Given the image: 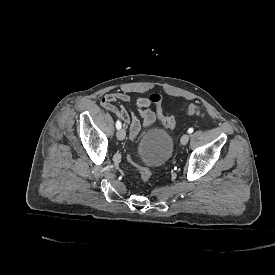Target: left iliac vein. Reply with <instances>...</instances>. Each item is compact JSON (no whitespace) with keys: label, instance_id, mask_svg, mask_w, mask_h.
I'll return each instance as SVG.
<instances>
[{"label":"left iliac vein","instance_id":"obj_1","mask_svg":"<svg viewBox=\"0 0 275 275\" xmlns=\"http://www.w3.org/2000/svg\"><path fill=\"white\" fill-rule=\"evenodd\" d=\"M189 139H190V136L188 134H184L181 137L180 142H181L182 145H186L188 143Z\"/></svg>","mask_w":275,"mask_h":275}]
</instances>
